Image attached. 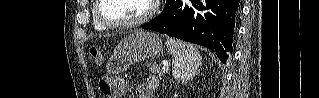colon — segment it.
<instances>
[{"instance_id":"colon-1","label":"colon","mask_w":319,"mask_h":98,"mask_svg":"<svg viewBox=\"0 0 319 98\" xmlns=\"http://www.w3.org/2000/svg\"><path fill=\"white\" fill-rule=\"evenodd\" d=\"M90 57L96 62L101 63L102 61V54L100 50L96 47L90 48Z\"/></svg>"}]
</instances>
